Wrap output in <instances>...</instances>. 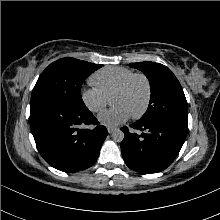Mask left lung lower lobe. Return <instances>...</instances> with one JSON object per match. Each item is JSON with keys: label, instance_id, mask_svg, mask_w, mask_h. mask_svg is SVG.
<instances>
[{"label": "left lung lower lobe", "instance_id": "1", "mask_svg": "<svg viewBox=\"0 0 220 220\" xmlns=\"http://www.w3.org/2000/svg\"><path fill=\"white\" fill-rule=\"evenodd\" d=\"M122 127L121 151L126 165L137 172L150 174L165 170L177 157L186 139L187 130L169 121L138 122Z\"/></svg>", "mask_w": 220, "mask_h": 220}]
</instances>
